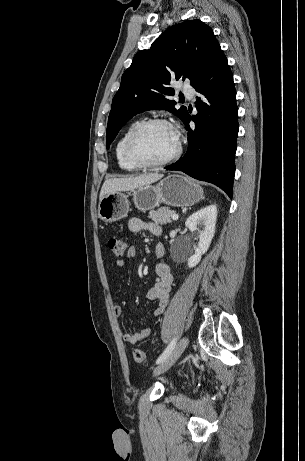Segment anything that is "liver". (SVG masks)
Here are the masks:
<instances>
[{
	"mask_svg": "<svg viewBox=\"0 0 305 461\" xmlns=\"http://www.w3.org/2000/svg\"><path fill=\"white\" fill-rule=\"evenodd\" d=\"M163 177L162 174L158 173H150L144 174L140 176H130L124 178H113L106 180L101 188L99 200H101L104 196L114 193V192H122V191H130L137 189L139 187H143L149 184H152Z\"/></svg>",
	"mask_w": 305,
	"mask_h": 461,
	"instance_id": "1",
	"label": "liver"
}]
</instances>
